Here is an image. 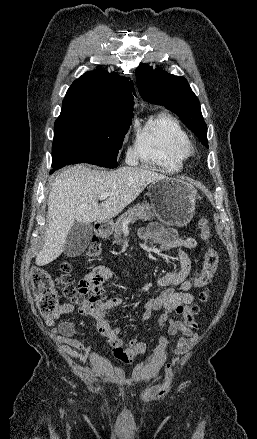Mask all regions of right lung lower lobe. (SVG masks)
<instances>
[{"instance_id":"obj_1","label":"right lung lower lobe","mask_w":257,"mask_h":439,"mask_svg":"<svg viewBox=\"0 0 257 439\" xmlns=\"http://www.w3.org/2000/svg\"><path fill=\"white\" fill-rule=\"evenodd\" d=\"M54 170H56L55 168H53V170L51 171V173L54 171Z\"/></svg>"}]
</instances>
